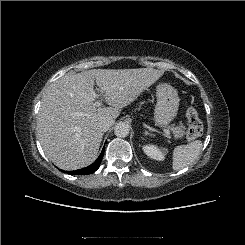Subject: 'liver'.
Instances as JSON below:
<instances>
[{
	"mask_svg": "<svg viewBox=\"0 0 245 245\" xmlns=\"http://www.w3.org/2000/svg\"><path fill=\"white\" fill-rule=\"evenodd\" d=\"M163 72L153 68L96 69L67 73L43 95L37 132L46 156L60 169L76 170L93 163L103 138L99 123L116 119ZM94 81L112 107L93 108ZM79 112L87 116H77Z\"/></svg>",
	"mask_w": 245,
	"mask_h": 245,
	"instance_id": "obj_1",
	"label": "liver"
}]
</instances>
